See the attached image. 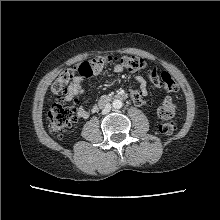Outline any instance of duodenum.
<instances>
[{
    "label": "duodenum",
    "mask_w": 220,
    "mask_h": 220,
    "mask_svg": "<svg viewBox=\"0 0 220 220\" xmlns=\"http://www.w3.org/2000/svg\"><path fill=\"white\" fill-rule=\"evenodd\" d=\"M126 98H127V94L124 93V92H118V93H115V94H112V95H105L100 99L97 108H102V107H104L105 105L111 103L114 100L126 99Z\"/></svg>",
    "instance_id": "obj_1"
}]
</instances>
